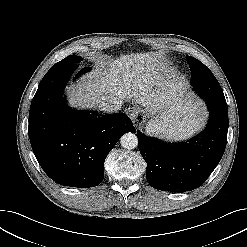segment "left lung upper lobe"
<instances>
[{
	"mask_svg": "<svg viewBox=\"0 0 247 247\" xmlns=\"http://www.w3.org/2000/svg\"><path fill=\"white\" fill-rule=\"evenodd\" d=\"M186 60L189 63L192 74L196 73L197 69H200V67L204 65L199 60L191 56H186Z\"/></svg>",
	"mask_w": 247,
	"mask_h": 247,
	"instance_id": "obj_1",
	"label": "left lung upper lobe"
}]
</instances>
